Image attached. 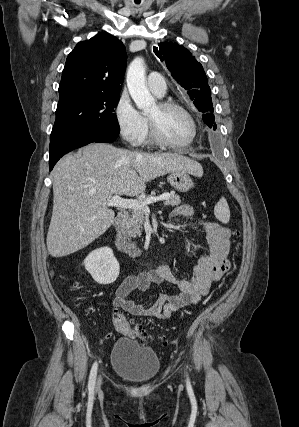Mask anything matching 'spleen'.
Segmentation results:
<instances>
[{
  "label": "spleen",
  "mask_w": 299,
  "mask_h": 427,
  "mask_svg": "<svg viewBox=\"0 0 299 427\" xmlns=\"http://www.w3.org/2000/svg\"><path fill=\"white\" fill-rule=\"evenodd\" d=\"M215 217L222 223L227 224L230 220V210L224 197H221L214 208Z\"/></svg>",
  "instance_id": "obj_1"
}]
</instances>
